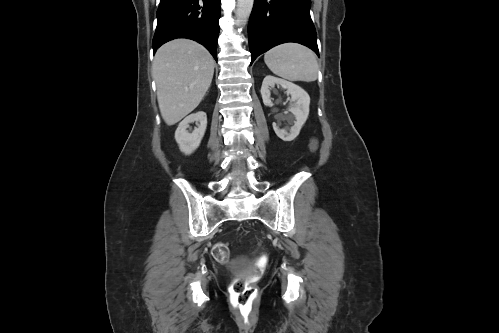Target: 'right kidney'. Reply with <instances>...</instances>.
Wrapping results in <instances>:
<instances>
[{"label": "right kidney", "mask_w": 499, "mask_h": 333, "mask_svg": "<svg viewBox=\"0 0 499 333\" xmlns=\"http://www.w3.org/2000/svg\"><path fill=\"white\" fill-rule=\"evenodd\" d=\"M196 122L197 128L192 133L187 131L190 123ZM207 127V116L203 111L187 116L175 131V140L179 145L181 152L189 155L193 153L200 145Z\"/></svg>", "instance_id": "right-kidney-1"}]
</instances>
